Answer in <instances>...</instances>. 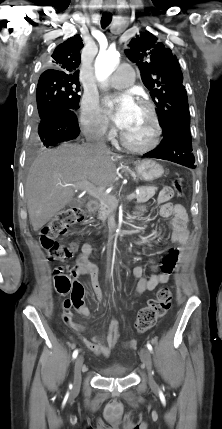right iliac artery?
<instances>
[{"mask_svg":"<svg viewBox=\"0 0 222 429\" xmlns=\"http://www.w3.org/2000/svg\"><path fill=\"white\" fill-rule=\"evenodd\" d=\"M77 355H78V350L76 349L72 354L73 359H75L77 357ZM70 387H71V385H70Z\"/></svg>","mask_w":222,"mask_h":429,"instance_id":"82829eb1","label":"right iliac artery"}]
</instances>
